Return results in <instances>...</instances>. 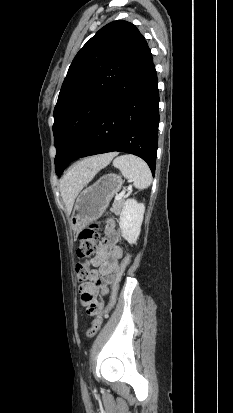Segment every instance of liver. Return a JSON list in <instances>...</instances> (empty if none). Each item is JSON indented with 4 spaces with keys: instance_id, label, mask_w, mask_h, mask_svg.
<instances>
[{
    "instance_id": "1",
    "label": "liver",
    "mask_w": 233,
    "mask_h": 413,
    "mask_svg": "<svg viewBox=\"0 0 233 413\" xmlns=\"http://www.w3.org/2000/svg\"><path fill=\"white\" fill-rule=\"evenodd\" d=\"M116 153H108L87 158L75 164L61 179L60 191L67 213L73 208L74 201L83 187L88 184L98 171L105 168Z\"/></svg>"
}]
</instances>
